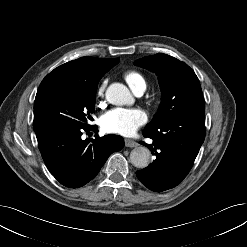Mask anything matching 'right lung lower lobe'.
<instances>
[{
	"label": "right lung lower lobe",
	"instance_id": "98d812e1",
	"mask_svg": "<svg viewBox=\"0 0 247 247\" xmlns=\"http://www.w3.org/2000/svg\"><path fill=\"white\" fill-rule=\"evenodd\" d=\"M42 158L51 174L62 185L78 188L91 181L108 157L124 147L118 135L81 138L83 132H98L96 125L79 128L61 124L33 127Z\"/></svg>",
	"mask_w": 247,
	"mask_h": 247
}]
</instances>
